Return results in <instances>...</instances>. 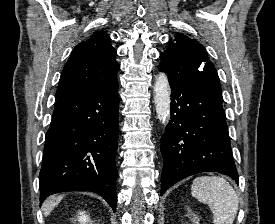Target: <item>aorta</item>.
<instances>
[{
    "label": "aorta",
    "mask_w": 275,
    "mask_h": 224,
    "mask_svg": "<svg viewBox=\"0 0 275 224\" xmlns=\"http://www.w3.org/2000/svg\"><path fill=\"white\" fill-rule=\"evenodd\" d=\"M153 91L157 117L160 121L165 122L166 118L169 116L171 102L169 82L166 74L159 73L156 76Z\"/></svg>",
    "instance_id": "1"
}]
</instances>
